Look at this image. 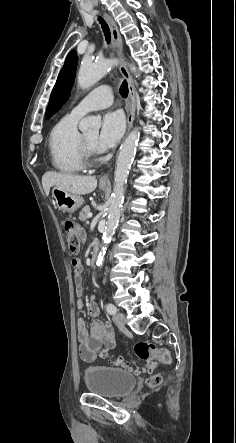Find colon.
<instances>
[{
  "label": "colon",
  "instance_id": "obj_1",
  "mask_svg": "<svg viewBox=\"0 0 236 443\" xmlns=\"http://www.w3.org/2000/svg\"><path fill=\"white\" fill-rule=\"evenodd\" d=\"M63 228L66 233V241L68 247L72 253H75L81 242L82 230L78 223L71 219H67L63 222ZM73 268H74V278H79L81 276V267L78 264L76 258H73ZM134 351L138 358L145 363L144 370L149 371L152 369L155 362H160L163 364H170L172 357L167 349L159 348L155 344L148 341H140L134 345ZM86 358L90 359L91 356L86 354ZM101 357H106L107 353L105 350L100 351ZM114 365L121 366L123 368H130L131 363L122 358H116L113 361ZM161 382V377L159 375H154L149 378L148 383L150 386L154 387L159 385Z\"/></svg>",
  "mask_w": 236,
  "mask_h": 443
}]
</instances>
